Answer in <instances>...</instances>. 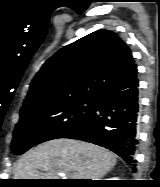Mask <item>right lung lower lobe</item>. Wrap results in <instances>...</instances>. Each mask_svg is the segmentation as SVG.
<instances>
[{
	"label": "right lung lower lobe",
	"mask_w": 160,
	"mask_h": 187,
	"mask_svg": "<svg viewBox=\"0 0 160 187\" xmlns=\"http://www.w3.org/2000/svg\"><path fill=\"white\" fill-rule=\"evenodd\" d=\"M138 123V79L134 64L96 98L93 114L64 138L79 139L110 149L135 172Z\"/></svg>",
	"instance_id": "98d812e1"
}]
</instances>
